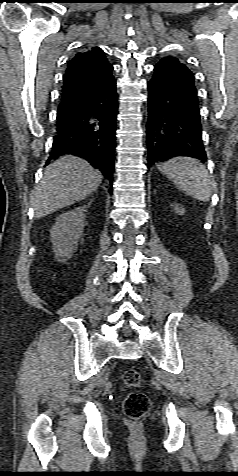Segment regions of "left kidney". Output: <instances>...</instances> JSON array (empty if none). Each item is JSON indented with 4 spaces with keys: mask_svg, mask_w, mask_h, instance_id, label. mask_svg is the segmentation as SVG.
<instances>
[{
    "mask_svg": "<svg viewBox=\"0 0 238 476\" xmlns=\"http://www.w3.org/2000/svg\"><path fill=\"white\" fill-rule=\"evenodd\" d=\"M172 206H173V209H174L175 213H177L179 215H183L185 213V209L181 205L174 204Z\"/></svg>",
    "mask_w": 238,
    "mask_h": 476,
    "instance_id": "5707ae66",
    "label": "left kidney"
}]
</instances>
